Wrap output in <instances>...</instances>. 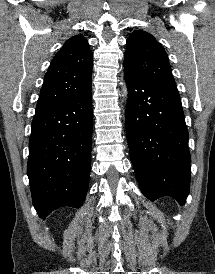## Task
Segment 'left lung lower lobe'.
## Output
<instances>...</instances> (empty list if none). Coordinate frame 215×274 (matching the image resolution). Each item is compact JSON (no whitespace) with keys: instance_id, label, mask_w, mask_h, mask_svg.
<instances>
[{"instance_id":"1","label":"left lung lower lobe","mask_w":215,"mask_h":274,"mask_svg":"<svg viewBox=\"0 0 215 274\" xmlns=\"http://www.w3.org/2000/svg\"><path fill=\"white\" fill-rule=\"evenodd\" d=\"M129 90L126 132L137 181L150 200L183 205L190 187L188 130L178 90L124 71Z\"/></svg>"}]
</instances>
